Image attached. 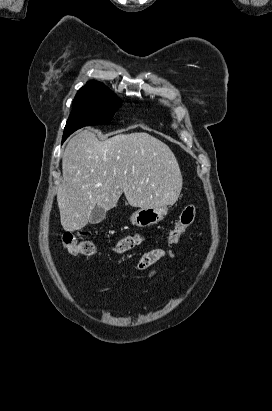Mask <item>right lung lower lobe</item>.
I'll list each match as a JSON object with an SVG mask.
<instances>
[{
    "mask_svg": "<svg viewBox=\"0 0 272 411\" xmlns=\"http://www.w3.org/2000/svg\"><path fill=\"white\" fill-rule=\"evenodd\" d=\"M65 139H66V138L64 137L63 140H62V142H63Z\"/></svg>",
    "mask_w": 272,
    "mask_h": 411,
    "instance_id": "1",
    "label": "right lung lower lobe"
}]
</instances>
